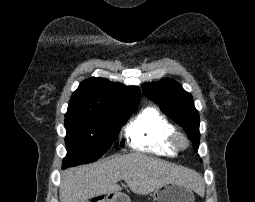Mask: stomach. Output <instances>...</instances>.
<instances>
[{
  "label": "stomach",
  "instance_id": "1",
  "mask_svg": "<svg viewBox=\"0 0 255 202\" xmlns=\"http://www.w3.org/2000/svg\"><path fill=\"white\" fill-rule=\"evenodd\" d=\"M153 202H194L195 196L191 188L180 183L171 182L155 189L152 194ZM104 202H130L128 196L114 193L107 196Z\"/></svg>",
  "mask_w": 255,
  "mask_h": 202
}]
</instances>
